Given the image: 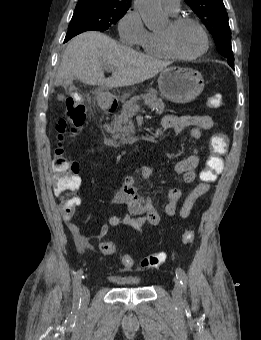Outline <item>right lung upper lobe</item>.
Listing matches in <instances>:
<instances>
[{
    "instance_id": "cb5924a9",
    "label": "right lung upper lobe",
    "mask_w": 261,
    "mask_h": 340,
    "mask_svg": "<svg viewBox=\"0 0 261 340\" xmlns=\"http://www.w3.org/2000/svg\"><path fill=\"white\" fill-rule=\"evenodd\" d=\"M83 3L130 7L131 0H78L77 4Z\"/></svg>"
}]
</instances>
